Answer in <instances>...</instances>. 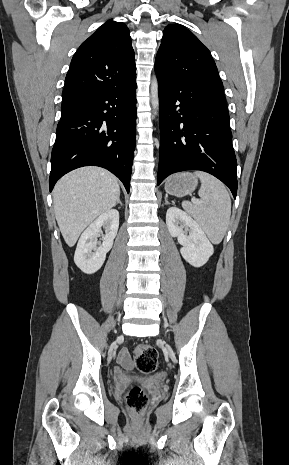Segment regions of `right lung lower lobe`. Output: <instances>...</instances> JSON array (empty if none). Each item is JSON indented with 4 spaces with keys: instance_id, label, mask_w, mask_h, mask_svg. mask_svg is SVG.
<instances>
[{
    "instance_id": "obj_1",
    "label": "right lung lower lobe",
    "mask_w": 289,
    "mask_h": 465,
    "mask_svg": "<svg viewBox=\"0 0 289 465\" xmlns=\"http://www.w3.org/2000/svg\"><path fill=\"white\" fill-rule=\"evenodd\" d=\"M136 76L127 84L89 97L61 119L51 156L49 187L82 166H100L130 189L136 136Z\"/></svg>"
}]
</instances>
